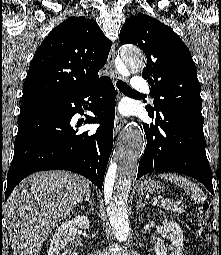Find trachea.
Listing matches in <instances>:
<instances>
[{
    "mask_svg": "<svg viewBox=\"0 0 221 255\" xmlns=\"http://www.w3.org/2000/svg\"><path fill=\"white\" fill-rule=\"evenodd\" d=\"M117 88L124 92V93H129V94H134V95H140L139 93L135 92L129 85H127L125 82L122 80H118L116 83Z\"/></svg>",
    "mask_w": 221,
    "mask_h": 255,
    "instance_id": "3493384b",
    "label": "trachea"
}]
</instances>
